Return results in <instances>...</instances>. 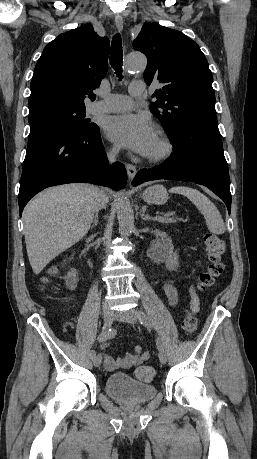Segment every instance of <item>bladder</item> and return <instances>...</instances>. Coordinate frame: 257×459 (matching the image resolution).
Instances as JSON below:
<instances>
[{"label":"bladder","mask_w":257,"mask_h":459,"mask_svg":"<svg viewBox=\"0 0 257 459\" xmlns=\"http://www.w3.org/2000/svg\"><path fill=\"white\" fill-rule=\"evenodd\" d=\"M108 397L126 404H143L157 394L156 387L135 380L128 373H114L105 382Z\"/></svg>","instance_id":"bladder-1"}]
</instances>
